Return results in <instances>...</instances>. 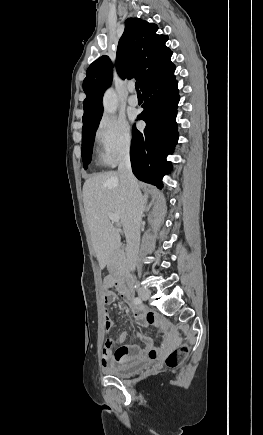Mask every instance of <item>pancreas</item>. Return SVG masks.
Returning <instances> with one entry per match:
<instances>
[{
	"instance_id": "1",
	"label": "pancreas",
	"mask_w": 263,
	"mask_h": 435,
	"mask_svg": "<svg viewBox=\"0 0 263 435\" xmlns=\"http://www.w3.org/2000/svg\"><path fill=\"white\" fill-rule=\"evenodd\" d=\"M109 266L111 269H114L115 271H122L124 268V254L121 249H117L114 251V253L111 255L109 260Z\"/></svg>"
}]
</instances>
